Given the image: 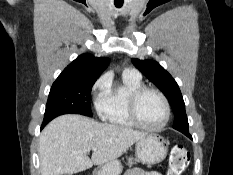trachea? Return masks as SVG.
I'll list each match as a JSON object with an SVG mask.
<instances>
[{"label": "trachea", "mask_w": 233, "mask_h": 175, "mask_svg": "<svg viewBox=\"0 0 233 175\" xmlns=\"http://www.w3.org/2000/svg\"><path fill=\"white\" fill-rule=\"evenodd\" d=\"M122 5H116L117 8H120Z\"/></svg>", "instance_id": "obj_1"}]
</instances>
